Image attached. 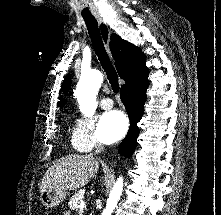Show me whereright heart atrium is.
I'll list each match as a JSON object with an SVG mask.
<instances>
[{
  "mask_svg": "<svg viewBox=\"0 0 221 215\" xmlns=\"http://www.w3.org/2000/svg\"><path fill=\"white\" fill-rule=\"evenodd\" d=\"M95 122L89 117H79L75 121L72 144L80 152H89L102 143Z\"/></svg>",
  "mask_w": 221,
  "mask_h": 215,
  "instance_id": "d8ad5b80",
  "label": "right heart atrium"
}]
</instances>
